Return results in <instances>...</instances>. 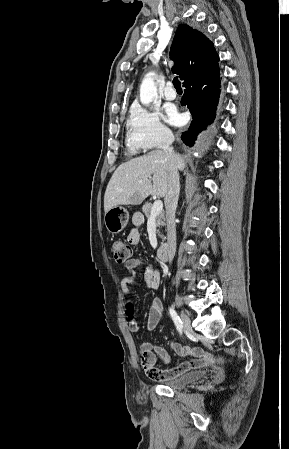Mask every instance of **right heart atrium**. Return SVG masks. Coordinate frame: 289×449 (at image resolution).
Instances as JSON below:
<instances>
[{
	"label": "right heart atrium",
	"mask_w": 289,
	"mask_h": 449,
	"mask_svg": "<svg viewBox=\"0 0 289 449\" xmlns=\"http://www.w3.org/2000/svg\"><path fill=\"white\" fill-rule=\"evenodd\" d=\"M129 144L138 150H150L169 143L172 132L156 112L134 106L128 121Z\"/></svg>",
	"instance_id": "right-heart-atrium-1"
}]
</instances>
